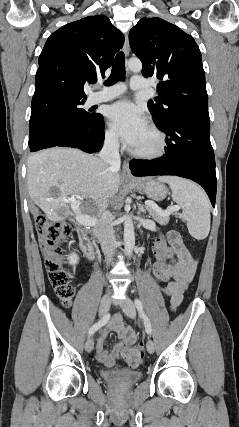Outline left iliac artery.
Returning <instances> with one entry per match:
<instances>
[{"label": "left iliac artery", "mask_w": 239, "mask_h": 427, "mask_svg": "<svg viewBox=\"0 0 239 427\" xmlns=\"http://www.w3.org/2000/svg\"><path fill=\"white\" fill-rule=\"evenodd\" d=\"M134 303H135V306L139 312L140 317L144 320L146 332L150 335L152 332V328H151V324H150L148 317L144 313L142 302L136 298L134 300Z\"/></svg>", "instance_id": "left-iliac-artery-1"}]
</instances>
